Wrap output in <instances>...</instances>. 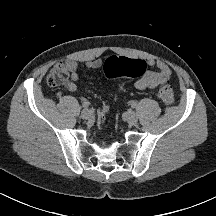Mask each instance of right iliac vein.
<instances>
[{
  "mask_svg": "<svg viewBox=\"0 0 216 216\" xmlns=\"http://www.w3.org/2000/svg\"><path fill=\"white\" fill-rule=\"evenodd\" d=\"M81 117L84 120H91L93 118V113L89 109H84L81 112Z\"/></svg>",
  "mask_w": 216,
  "mask_h": 216,
  "instance_id": "1",
  "label": "right iliac vein"
}]
</instances>
